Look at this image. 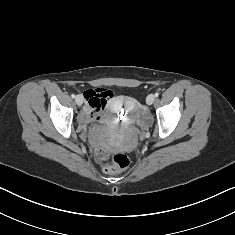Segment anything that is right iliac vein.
<instances>
[{"instance_id": "63e3f726", "label": "right iliac vein", "mask_w": 235, "mask_h": 235, "mask_svg": "<svg viewBox=\"0 0 235 235\" xmlns=\"http://www.w3.org/2000/svg\"><path fill=\"white\" fill-rule=\"evenodd\" d=\"M75 101L77 103L78 106H81L83 104V98L80 95H77L75 98Z\"/></svg>"}]
</instances>
